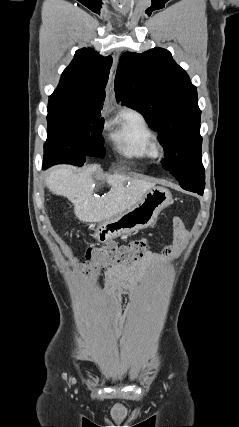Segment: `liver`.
I'll return each mask as SVG.
<instances>
[{
  "label": "liver",
  "instance_id": "1",
  "mask_svg": "<svg viewBox=\"0 0 239 427\" xmlns=\"http://www.w3.org/2000/svg\"><path fill=\"white\" fill-rule=\"evenodd\" d=\"M98 164L81 170L71 166L53 168L46 177V186L53 194L64 196L74 204V213L82 222H102L119 215L137 204L155 186L146 180L124 174L106 176L109 192L94 196L93 174L101 173Z\"/></svg>",
  "mask_w": 239,
  "mask_h": 427
}]
</instances>
